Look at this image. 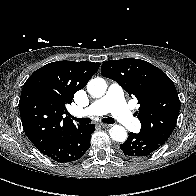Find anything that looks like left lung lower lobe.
Masks as SVG:
<instances>
[{"mask_svg":"<svg viewBox=\"0 0 196 196\" xmlns=\"http://www.w3.org/2000/svg\"><path fill=\"white\" fill-rule=\"evenodd\" d=\"M161 145L146 139L140 133H129L128 139L120 145L122 152L127 156L143 157L159 149Z\"/></svg>","mask_w":196,"mask_h":196,"instance_id":"1","label":"left lung lower lobe"}]
</instances>
